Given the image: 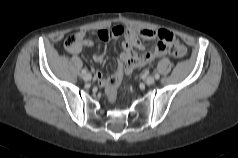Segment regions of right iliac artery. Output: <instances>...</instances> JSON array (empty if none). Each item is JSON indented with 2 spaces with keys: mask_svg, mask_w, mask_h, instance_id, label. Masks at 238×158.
Listing matches in <instances>:
<instances>
[{
  "mask_svg": "<svg viewBox=\"0 0 238 158\" xmlns=\"http://www.w3.org/2000/svg\"><path fill=\"white\" fill-rule=\"evenodd\" d=\"M86 73V69H82V74H85Z\"/></svg>",
  "mask_w": 238,
  "mask_h": 158,
  "instance_id": "obj_1",
  "label": "right iliac artery"
}]
</instances>
